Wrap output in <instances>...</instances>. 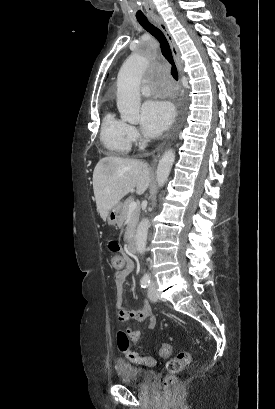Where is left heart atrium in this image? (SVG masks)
Returning <instances> with one entry per match:
<instances>
[{"label": "left heart atrium", "instance_id": "left-heart-atrium-1", "mask_svg": "<svg viewBox=\"0 0 275 409\" xmlns=\"http://www.w3.org/2000/svg\"><path fill=\"white\" fill-rule=\"evenodd\" d=\"M141 115L145 133L150 136H158L171 124L173 108L168 102L150 100L143 105Z\"/></svg>", "mask_w": 275, "mask_h": 409}]
</instances>
